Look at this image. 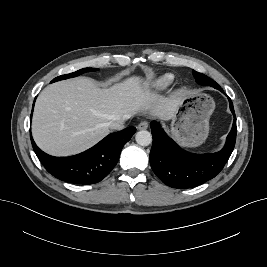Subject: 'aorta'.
<instances>
[{
    "label": "aorta",
    "instance_id": "obj_1",
    "mask_svg": "<svg viewBox=\"0 0 267 267\" xmlns=\"http://www.w3.org/2000/svg\"><path fill=\"white\" fill-rule=\"evenodd\" d=\"M136 142L141 146H148L152 142V135L149 131L141 130L136 133Z\"/></svg>",
    "mask_w": 267,
    "mask_h": 267
}]
</instances>
